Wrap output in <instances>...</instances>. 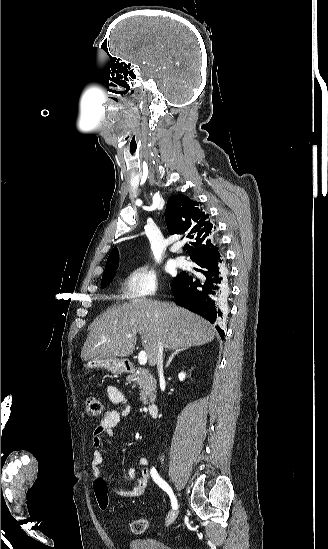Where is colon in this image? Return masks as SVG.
Instances as JSON below:
<instances>
[{"label":"colon","instance_id":"obj_1","mask_svg":"<svg viewBox=\"0 0 328 549\" xmlns=\"http://www.w3.org/2000/svg\"><path fill=\"white\" fill-rule=\"evenodd\" d=\"M86 408L89 415L99 416L104 411V404L99 398L90 396L86 400ZM93 487L99 508L106 510L109 507V489L106 481L103 478H97ZM147 527L148 521L145 518L136 519L131 525L132 531L137 534L145 532Z\"/></svg>","mask_w":328,"mask_h":549}]
</instances>
